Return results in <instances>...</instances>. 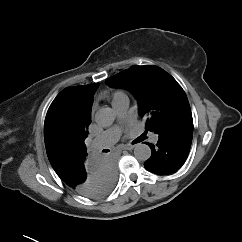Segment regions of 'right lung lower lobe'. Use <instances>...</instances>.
I'll return each mask as SVG.
<instances>
[{"mask_svg": "<svg viewBox=\"0 0 242 242\" xmlns=\"http://www.w3.org/2000/svg\"><path fill=\"white\" fill-rule=\"evenodd\" d=\"M60 178L78 193L100 198L107 195L117 180L116 160L113 156L87 154L69 172Z\"/></svg>", "mask_w": 242, "mask_h": 242, "instance_id": "right-lung-lower-lobe-1", "label": "right lung lower lobe"}]
</instances>
